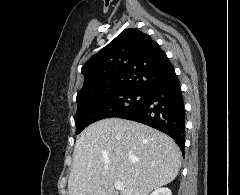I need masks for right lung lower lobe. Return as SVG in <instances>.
I'll use <instances>...</instances> for the list:
<instances>
[{"mask_svg": "<svg viewBox=\"0 0 240 195\" xmlns=\"http://www.w3.org/2000/svg\"><path fill=\"white\" fill-rule=\"evenodd\" d=\"M117 117L137 121L164 132L176 141L184 153L185 110L175 72L150 87L138 106Z\"/></svg>", "mask_w": 240, "mask_h": 195, "instance_id": "obj_1", "label": "right lung lower lobe"}]
</instances>
